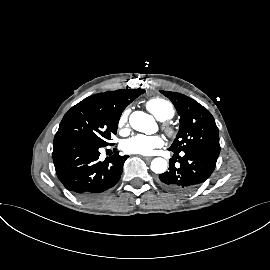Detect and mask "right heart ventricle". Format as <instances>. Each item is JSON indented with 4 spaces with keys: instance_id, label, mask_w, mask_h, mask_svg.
Listing matches in <instances>:
<instances>
[{
    "instance_id": "obj_1",
    "label": "right heart ventricle",
    "mask_w": 270,
    "mask_h": 270,
    "mask_svg": "<svg viewBox=\"0 0 270 270\" xmlns=\"http://www.w3.org/2000/svg\"><path fill=\"white\" fill-rule=\"evenodd\" d=\"M146 108L159 120L165 121L173 117V105L162 98H152L147 101Z\"/></svg>"
}]
</instances>
